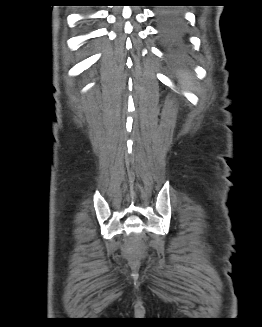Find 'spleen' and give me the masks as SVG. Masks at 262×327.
Returning a JSON list of instances; mask_svg holds the SVG:
<instances>
[{
	"label": "spleen",
	"mask_w": 262,
	"mask_h": 327,
	"mask_svg": "<svg viewBox=\"0 0 262 327\" xmlns=\"http://www.w3.org/2000/svg\"><path fill=\"white\" fill-rule=\"evenodd\" d=\"M181 85L188 89L192 88L191 77L189 76V74L184 73L182 75Z\"/></svg>",
	"instance_id": "1"
}]
</instances>
